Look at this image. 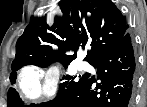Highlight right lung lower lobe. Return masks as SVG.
Masks as SVG:
<instances>
[{
  "mask_svg": "<svg viewBox=\"0 0 147 107\" xmlns=\"http://www.w3.org/2000/svg\"><path fill=\"white\" fill-rule=\"evenodd\" d=\"M90 76L54 107H131L136 84V60L127 31L122 39L92 65Z\"/></svg>",
  "mask_w": 147,
  "mask_h": 107,
  "instance_id": "obj_1",
  "label": "right lung lower lobe"
}]
</instances>
